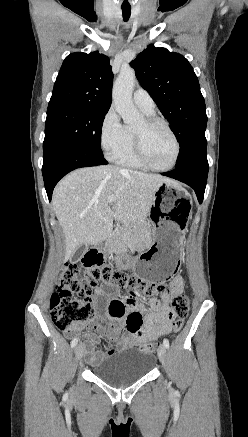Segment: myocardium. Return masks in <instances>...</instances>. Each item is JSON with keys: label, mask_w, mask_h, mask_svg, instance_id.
<instances>
[{"label": "myocardium", "mask_w": 248, "mask_h": 437, "mask_svg": "<svg viewBox=\"0 0 248 437\" xmlns=\"http://www.w3.org/2000/svg\"><path fill=\"white\" fill-rule=\"evenodd\" d=\"M144 123H145V126L147 128H151V127H154L157 125L163 126L169 132V134L171 135V137L175 143V154H174L173 160L170 163V165H168L166 167H156V166L152 165L148 161L147 156L145 154L142 136L138 133L133 132L134 151H135V154H136L138 160L140 161V163L142 164L143 167H145L149 170H152V171L166 172V171L173 169L178 162V159L180 156V151H181V145H180V142H179L177 135L175 134V132L173 131L171 126L168 124V122H166L165 120H163L159 117H153V116L146 117L144 119Z\"/></svg>", "instance_id": "myocardium-1"}]
</instances>
